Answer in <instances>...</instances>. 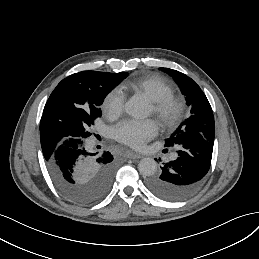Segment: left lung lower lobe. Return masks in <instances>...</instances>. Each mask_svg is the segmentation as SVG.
Wrapping results in <instances>:
<instances>
[{"label":"left lung lower lobe","instance_id":"0a47b994","mask_svg":"<svg viewBox=\"0 0 259 259\" xmlns=\"http://www.w3.org/2000/svg\"><path fill=\"white\" fill-rule=\"evenodd\" d=\"M213 144L214 140H207L200 132H187L178 145V158L163 163L162 172L148 179V189L168 201L192 195L209 171Z\"/></svg>","mask_w":259,"mask_h":259}]
</instances>
